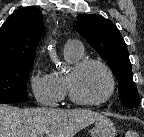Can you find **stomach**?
Listing matches in <instances>:
<instances>
[{
    "instance_id": "0dacf381",
    "label": "stomach",
    "mask_w": 144,
    "mask_h": 137,
    "mask_svg": "<svg viewBox=\"0 0 144 137\" xmlns=\"http://www.w3.org/2000/svg\"><path fill=\"white\" fill-rule=\"evenodd\" d=\"M117 131L113 122L104 117L101 120L95 122L91 130V137H116Z\"/></svg>"
}]
</instances>
